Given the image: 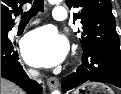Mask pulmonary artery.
Masks as SVG:
<instances>
[{
  "label": "pulmonary artery",
  "instance_id": "obj_1",
  "mask_svg": "<svg viewBox=\"0 0 121 94\" xmlns=\"http://www.w3.org/2000/svg\"><path fill=\"white\" fill-rule=\"evenodd\" d=\"M53 19L56 21H66L67 19V11L64 7L62 6H56L54 8V12H53ZM18 30L17 27L13 28L11 30V34L16 33Z\"/></svg>",
  "mask_w": 121,
  "mask_h": 94
}]
</instances>
